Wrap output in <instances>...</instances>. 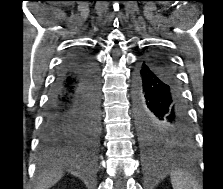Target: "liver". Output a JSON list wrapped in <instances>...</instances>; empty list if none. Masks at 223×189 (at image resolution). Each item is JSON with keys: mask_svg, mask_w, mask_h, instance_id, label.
Segmentation results:
<instances>
[{"mask_svg": "<svg viewBox=\"0 0 223 189\" xmlns=\"http://www.w3.org/2000/svg\"><path fill=\"white\" fill-rule=\"evenodd\" d=\"M62 172H52L43 175L39 181L37 182V186L35 189H48L55 183H57L61 177H62Z\"/></svg>", "mask_w": 223, "mask_h": 189, "instance_id": "6515ba94", "label": "liver"}]
</instances>
